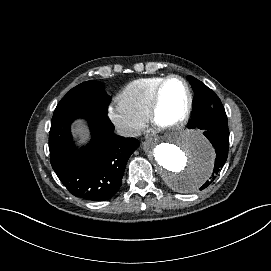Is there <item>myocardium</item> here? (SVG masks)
I'll return each instance as SVG.
<instances>
[{
    "instance_id": "1",
    "label": "myocardium",
    "mask_w": 271,
    "mask_h": 271,
    "mask_svg": "<svg viewBox=\"0 0 271 271\" xmlns=\"http://www.w3.org/2000/svg\"><path fill=\"white\" fill-rule=\"evenodd\" d=\"M173 79L180 80L186 87L188 94V102L184 112L175 120L164 123L160 120V112L162 107V94L167 83ZM194 109V93L188 80L178 74L167 75L155 88L152 95V105L149 113L151 123L161 130H176L183 127L190 120Z\"/></svg>"
}]
</instances>
